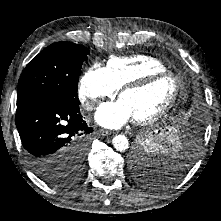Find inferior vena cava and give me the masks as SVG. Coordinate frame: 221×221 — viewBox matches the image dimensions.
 <instances>
[{
  "mask_svg": "<svg viewBox=\"0 0 221 221\" xmlns=\"http://www.w3.org/2000/svg\"><path fill=\"white\" fill-rule=\"evenodd\" d=\"M95 108V103L94 102H87L86 104H85V109L86 110H93Z\"/></svg>",
  "mask_w": 221,
  "mask_h": 221,
  "instance_id": "1",
  "label": "inferior vena cava"
}]
</instances>
